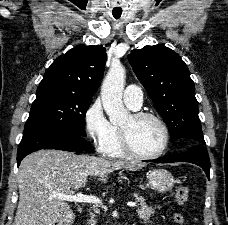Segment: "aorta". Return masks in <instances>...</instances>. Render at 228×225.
I'll return each mask as SVG.
<instances>
[{
    "mask_svg": "<svg viewBox=\"0 0 228 225\" xmlns=\"http://www.w3.org/2000/svg\"><path fill=\"white\" fill-rule=\"evenodd\" d=\"M126 70L120 62H112L101 86L102 104L111 125H124L129 113L122 100Z\"/></svg>",
    "mask_w": 228,
    "mask_h": 225,
    "instance_id": "obj_1",
    "label": "aorta"
}]
</instances>
